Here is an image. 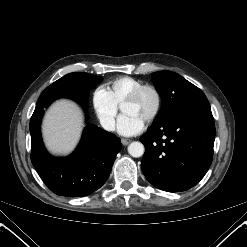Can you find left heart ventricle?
Here are the masks:
<instances>
[{
    "instance_id": "obj_1",
    "label": "left heart ventricle",
    "mask_w": 247,
    "mask_h": 247,
    "mask_svg": "<svg viewBox=\"0 0 247 247\" xmlns=\"http://www.w3.org/2000/svg\"><path fill=\"white\" fill-rule=\"evenodd\" d=\"M154 106V94L150 91H146L135 102L123 105L122 110L124 113L137 115L145 121L153 111Z\"/></svg>"
}]
</instances>
